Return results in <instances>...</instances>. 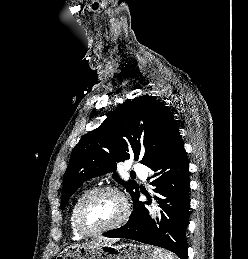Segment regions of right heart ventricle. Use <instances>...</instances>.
Masks as SVG:
<instances>
[{
    "label": "right heart ventricle",
    "instance_id": "e07e8e85",
    "mask_svg": "<svg viewBox=\"0 0 248 259\" xmlns=\"http://www.w3.org/2000/svg\"><path fill=\"white\" fill-rule=\"evenodd\" d=\"M87 193V191H83L81 194H79L73 204H72V207H71V210H70V214H69V225H70V229H71V232L74 236V238L76 239H80L82 238L84 235L78 230L76 224H75V211H76V208H77V205L78 203L80 202V200L83 198V196Z\"/></svg>",
    "mask_w": 248,
    "mask_h": 259
}]
</instances>
